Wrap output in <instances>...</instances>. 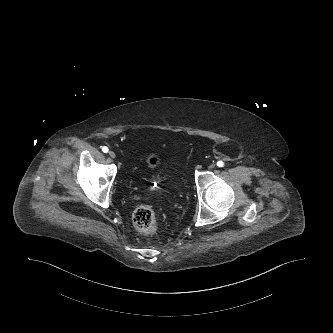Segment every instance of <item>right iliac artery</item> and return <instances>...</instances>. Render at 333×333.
<instances>
[{
    "label": "right iliac artery",
    "instance_id": "obj_1",
    "mask_svg": "<svg viewBox=\"0 0 333 333\" xmlns=\"http://www.w3.org/2000/svg\"><path fill=\"white\" fill-rule=\"evenodd\" d=\"M108 150H109L108 147H106V146L102 147V151H103L104 153H107Z\"/></svg>",
    "mask_w": 333,
    "mask_h": 333
}]
</instances>
